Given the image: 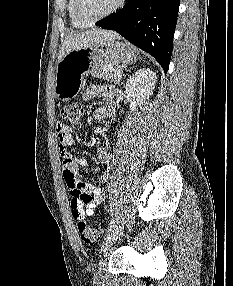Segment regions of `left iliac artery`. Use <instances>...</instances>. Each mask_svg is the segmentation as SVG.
Here are the masks:
<instances>
[{
  "label": "left iliac artery",
  "instance_id": "obj_1",
  "mask_svg": "<svg viewBox=\"0 0 233 286\" xmlns=\"http://www.w3.org/2000/svg\"><path fill=\"white\" fill-rule=\"evenodd\" d=\"M115 223H116V221H115V219L113 218V219L110 221V223H109V225H108V227H107V232H110V231L112 230V228L115 226Z\"/></svg>",
  "mask_w": 233,
  "mask_h": 286
}]
</instances>
